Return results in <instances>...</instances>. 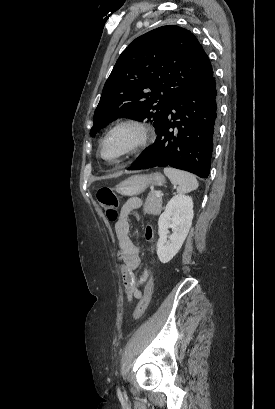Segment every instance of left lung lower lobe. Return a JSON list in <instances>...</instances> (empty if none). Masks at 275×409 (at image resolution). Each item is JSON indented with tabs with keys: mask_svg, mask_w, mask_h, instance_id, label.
I'll use <instances>...</instances> for the list:
<instances>
[{
	"mask_svg": "<svg viewBox=\"0 0 275 409\" xmlns=\"http://www.w3.org/2000/svg\"><path fill=\"white\" fill-rule=\"evenodd\" d=\"M217 96L212 69L180 94L156 129L154 144L128 170L169 166L208 178L218 124Z\"/></svg>",
	"mask_w": 275,
	"mask_h": 409,
	"instance_id": "obj_1",
	"label": "left lung lower lobe"
}]
</instances>
